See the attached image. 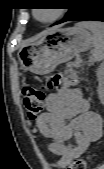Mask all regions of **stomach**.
<instances>
[{"mask_svg":"<svg viewBox=\"0 0 104 169\" xmlns=\"http://www.w3.org/2000/svg\"><path fill=\"white\" fill-rule=\"evenodd\" d=\"M93 36L81 26L52 29L37 41L20 49L19 59L26 71L52 72L60 63L91 47Z\"/></svg>","mask_w":104,"mask_h":169,"instance_id":"obj_1","label":"stomach"}]
</instances>
